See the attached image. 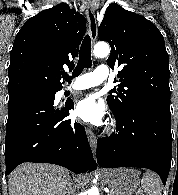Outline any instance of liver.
Listing matches in <instances>:
<instances>
[{"mask_svg": "<svg viewBox=\"0 0 178 195\" xmlns=\"http://www.w3.org/2000/svg\"><path fill=\"white\" fill-rule=\"evenodd\" d=\"M69 171L51 164L24 163L10 174L9 195H66Z\"/></svg>", "mask_w": 178, "mask_h": 195, "instance_id": "1", "label": "liver"}]
</instances>
